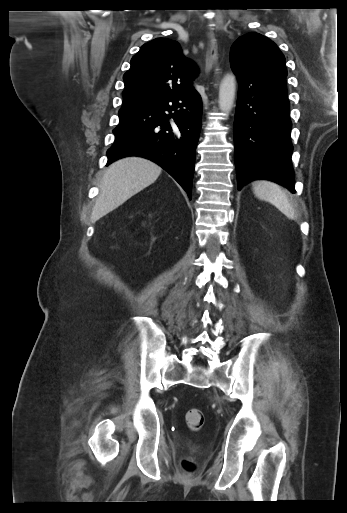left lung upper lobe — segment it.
Listing matches in <instances>:
<instances>
[{"label":"left lung upper lobe","mask_w":347,"mask_h":513,"mask_svg":"<svg viewBox=\"0 0 347 513\" xmlns=\"http://www.w3.org/2000/svg\"><path fill=\"white\" fill-rule=\"evenodd\" d=\"M230 65L250 75L287 76L284 55L274 42L259 33H247L234 42Z\"/></svg>","instance_id":"obj_1"}]
</instances>
